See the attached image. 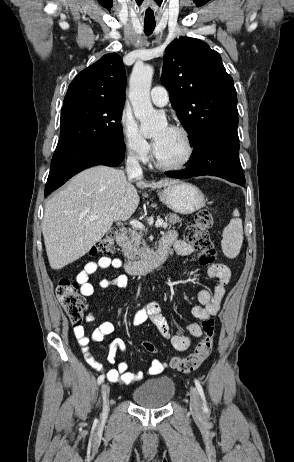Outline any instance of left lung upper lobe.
I'll return each mask as SVG.
<instances>
[{
	"instance_id": "5c2ea615",
	"label": "left lung upper lobe",
	"mask_w": 294,
	"mask_h": 462,
	"mask_svg": "<svg viewBox=\"0 0 294 462\" xmlns=\"http://www.w3.org/2000/svg\"><path fill=\"white\" fill-rule=\"evenodd\" d=\"M162 69L161 82L192 146L220 124L238 119L233 79L219 53L205 42L188 37L174 40L166 48Z\"/></svg>"
}]
</instances>
